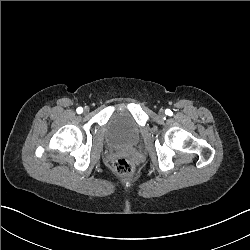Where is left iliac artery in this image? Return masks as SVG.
Here are the masks:
<instances>
[{
	"mask_svg": "<svg viewBox=\"0 0 250 250\" xmlns=\"http://www.w3.org/2000/svg\"><path fill=\"white\" fill-rule=\"evenodd\" d=\"M166 111H167V115H169V116H171L173 113H172V111L170 110V109H166Z\"/></svg>",
	"mask_w": 250,
	"mask_h": 250,
	"instance_id": "obj_1",
	"label": "left iliac artery"
}]
</instances>
